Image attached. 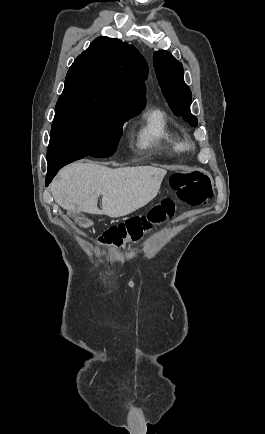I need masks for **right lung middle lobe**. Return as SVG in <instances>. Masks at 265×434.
Masks as SVG:
<instances>
[{"mask_svg": "<svg viewBox=\"0 0 265 434\" xmlns=\"http://www.w3.org/2000/svg\"><path fill=\"white\" fill-rule=\"evenodd\" d=\"M143 108L93 86H65L55 108L47 163L111 156L118 145L123 124Z\"/></svg>", "mask_w": 265, "mask_h": 434, "instance_id": "obj_1", "label": "right lung middle lobe"}]
</instances>
